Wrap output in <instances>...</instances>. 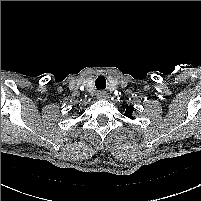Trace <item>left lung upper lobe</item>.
<instances>
[{
    "mask_svg": "<svg viewBox=\"0 0 201 201\" xmlns=\"http://www.w3.org/2000/svg\"><path fill=\"white\" fill-rule=\"evenodd\" d=\"M123 107L125 108L124 115H125L126 117L131 118V119H134V117H133V111H134L133 106H126V105H123Z\"/></svg>",
    "mask_w": 201,
    "mask_h": 201,
    "instance_id": "1",
    "label": "left lung upper lobe"
}]
</instances>
